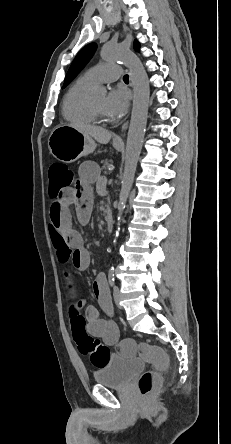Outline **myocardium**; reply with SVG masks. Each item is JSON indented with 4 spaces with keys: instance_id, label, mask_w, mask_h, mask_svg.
Masks as SVG:
<instances>
[{
    "instance_id": "1",
    "label": "myocardium",
    "mask_w": 231,
    "mask_h": 444,
    "mask_svg": "<svg viewBox=\"0 0 231 444\" xmlns=\"http://www.w3.org/2000/svg\"><path fill=\"white\" fill-rule=\"evenodd\" d=\"M89 106H90V110H91L95 120L102 121V122H108L109 121V119L106 116H104L103 114H101L98 111V109L95 107L92 99H90Z\"/></svg>"
}]
</instances>
